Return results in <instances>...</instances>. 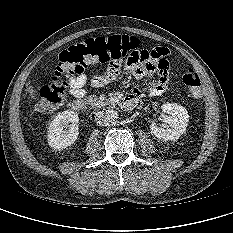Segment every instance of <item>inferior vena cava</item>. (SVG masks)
<instances>
[{
    "label": "inferior vena cava",
    "instance_id": "1",
    "mask_svg": "<svg viewBox=\"0 0 233 233\" xmlns=\"http://www.w3.org/2000/svg\"><path fill=\"white\" fill-rule=\"evenodd\" d=\"M95 120H96V123H97L99 126H106V125L108 124L106 115H105V113L102 112V111L96 112V114H95Z\"/></svg>",
    "mask_w": 233,
    "mask_h": 233
}]
</instances>
